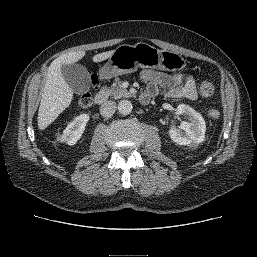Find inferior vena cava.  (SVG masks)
Masks as SVG:
<instances>
[{
  "label": "inferior vena cava",
  "mask_w": 257,
  "mask_h": 257,
  "mask_svg": "<svg viewBox=\"0 0 257 257\" xmlns=\"http://www.w3.org/2000/svg\"><path fill=\"white\" fill-rule=\"evenodd\" d=\"M116 111V103L114 101H107L100 107V113L103 117H111Z\"/></svg>",
  "instance_id": "obj_1"
}]
</instances>
